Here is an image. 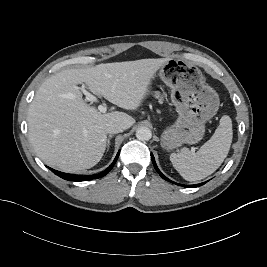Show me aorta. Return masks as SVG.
I'll return each mask as SVG.
<instances>
[{
  "instance_id": "1",
  "label": "aorta",
  "mask_w": 267,
  "mask_h": 267,
  "mask_svg": "<svg viewBox=\"0 0 267 267\" xmlns=\"http://www.w3.org/2000/svg\"><path fill=\"white\" fill-rule=\"evenodd\" d=\"M136 137L140 141H148L152 137V132L148 127H139L136 131Z\"/></svg>"
}]
</instances>
